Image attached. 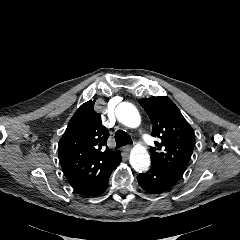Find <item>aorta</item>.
<instances>
[{
    "instance_id": "762f6f07",
    "label": "aorta",
    "mask_w": 240,
    "mask_h": 240,
    "mask_svg": "<svg viewBox=\"0 0 240 240\" xmlns=\"http://www.w3.org/2000/svg\"><path fill=\"white\" fill-rule=\"evenodd\" d=\"M116 117L123 125L136 128L141 123L137 108L128 102L120 103L116 107ZM150 156L143 146H135L130 153V164L137 172L147 171L150 166Z\"/></svg>"
}]
</instances>
